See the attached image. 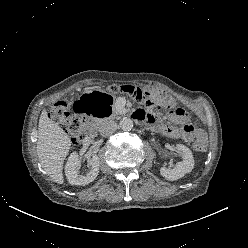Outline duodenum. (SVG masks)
<instances>
[{"instance_id":"duodenum-1","label":"duodenum","mask_w":248,"mask_h":248,"mask_svg":"<svg viewBox=\"0 0 248 248\" xmlns=\"http://www.w3.org/2000/svg\"><path fill=\"white\" fill-rule=\"evenodd\" d=\"M133 117L140 120V115L137 112L133 113ZM97 120H99V119L96 117H93V120H87L86 121L85 131H86L87 137H92L94 135Z\"/></svg>"}]
</instances>
